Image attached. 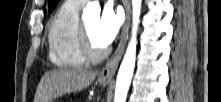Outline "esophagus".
Masks as SVG:
<instances>
[{"label": "esophagus", "mask_w": 221, "mask_h": 102, "mask_svg": "<svg viewBox=\"0 0 221 102\" xmlns=\"http://www.w3.org/2000/svg\"><path fill=\"white\" fill-rule=\"evenodd\" d=\"M124 5L126 10V19L122 30L121 40L113 56L107 61L106 65L102 68V70L99 73V77L102 79L113 78L125 50L130 26V1L126 0Z\"/></svg>", "instance_id": "esophagus-1"}]
</instances>
